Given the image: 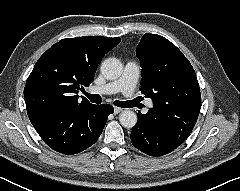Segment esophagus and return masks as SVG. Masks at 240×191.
Here are the masks:
<instances>
[{"label": "esophagus", "instance_id": "1", "mask_svg": "<svg viewBox=\"0 0 240 191\" xmlns=\"http://www.w3.org/2000/svg\"><path fill=\"white\" fill-rule=\"evenodd\" d=\"M122 111V108L114 107V114H118Z\"/></svg>", "mask_w": 240, "mask_h": 191}]
</instances>
